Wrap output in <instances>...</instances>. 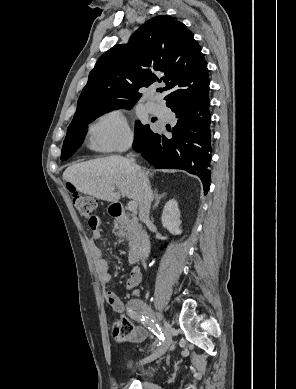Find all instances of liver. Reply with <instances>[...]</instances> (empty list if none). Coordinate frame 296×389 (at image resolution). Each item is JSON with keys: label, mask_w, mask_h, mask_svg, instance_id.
<instances>
[{"label": "liver", "mask_w": 296, "mask_h": 389, "mask_svg": "<svg viewBox=\"0 0 296 389\" xmlns=\"http://www.w3.org/2000/svg\"><path fill=\"white\" fill-rule=\"evenodd\" d=\"M139 171L147 179L151 176L129 159L113 155L73 164L64 171L63 180L81 193L108 202H117L122 191L139 206L142 196Z\"/></svg>", "instance_id": "liver-1"}]
</instances>
